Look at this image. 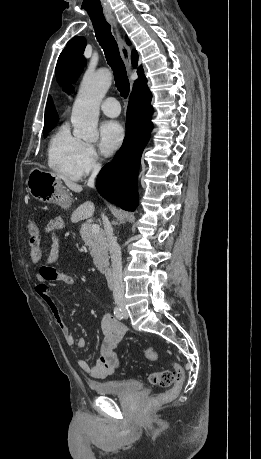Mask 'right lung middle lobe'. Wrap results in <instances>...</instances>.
<instances>
[{
    "label": "right lung middle lobe",
    "instance_id": "right-lung-middle-lobe-1",
    "mask_svg": "<svg viewBox=\"0 0 261 459\" xmlns=\"http://www.w3.org/2000/svg\"><path fill=\"white\" fill-rule=\"evenodd\" d=\"M56 123L44 124L43 135L46 136L47 133L55 126Z\"/></svg>",
    "mask_w": 261,
    "mask_h": 459
}]
</instances>
